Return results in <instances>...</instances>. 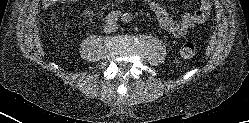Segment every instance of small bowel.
Returning a JSON list of instances; mask_svg holds the SVG:
<instances>
[{"label": "small bowel", "instance_id": "1", "mask_svg": "<svg viewBox=\"0 0 249 123\" xmlns=\"http://www.w3.org/2000/svg\"><path fill=\"white\" fill-rule=\"evenodd\" d=\"M75 1L77 0H46V3H67ZM145 1L149 2V8L156 15L160 26L175 37H182L190 29L204 23L212 9L211 0H200L195 11L184 14L180 19H174L168 10L160 3L151 0Z\"/></svg>", "mask_w": 249, "mask_h": 123}]
</instances>
